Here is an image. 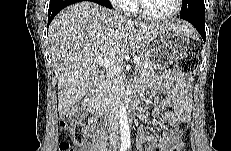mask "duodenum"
Here are the masks:
<instances>
[{
    "instance_id": "1",
    "label": "duodenum",
    "mask_w": 231,
    "mask_h": 151,
    "mask_svg": "<svg viewBox=\"0 0 231 151\" xmlns=\"http://www.w3.org/2000/svg\"><path fill=\"white\" fill-rule=\"evenodd\" d=\"M97 84H94L92 87H91V92L89 94V96L86 98V104L87 106H89L90 108L93 106V100L97 94ZM120 106L122 107H125L127 109L130 110V113L131 114H135L136 112V109H135V106L132 104L131 102V98L128 96V95H124L120 101ZM97 120L98 119H101L103 120L104 122H106L107 124V128H111V123H112V120L114 118V114L108 110H103L101 111L98 115H95ZM108 139V136L107 137H104V144H105V141Z\"/></svg>"
}]
</instances>
